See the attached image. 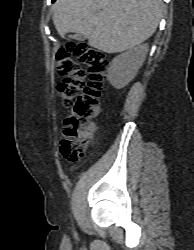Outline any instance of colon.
I'll return each instance as SVG.
<instances>
[{
    "label": "colon",
    "instance_id": "obj_1",
    "mask_svg": "<svg viewBox=\"0 0 194 250\" xmlns=\"http://www.w3.org/2000/svg\"><path fill=\"white\" fill-rule=\"evenodd\" d=\"M86 66L88 84L84 86ZM108 60L105 54L88 44L71 42L56 54V72L63 77L57 92L68 109L64 121V138L60 151L70 163L84 158L92 135L90 122L99 114L100 97L107 76Z\"/></svg>",
    "mask_w": 194,
    "mask_h": 250
}]
</instances>
